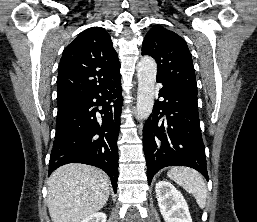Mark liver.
<instances>
[{
	"label": "liver",
	"instance_id": "1",
	"mask_svg": "<svg viewBox=\"0 0 257 222\" xmlns=\"http://www.w3.org/2000/svg\"><path fill=\"white\" fill-rule=\"evenodd\" d=\"M110 194L108 176L85 164H66L48 180L47 206L52 222H81L99 211Z\"/></svg>",
	"mask_w": 257,
	"mask_h": 222
}]
</instances>
